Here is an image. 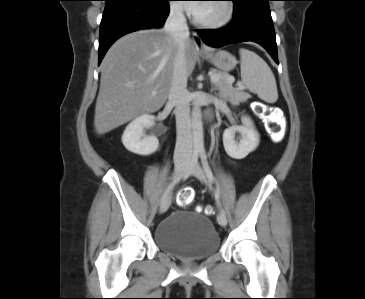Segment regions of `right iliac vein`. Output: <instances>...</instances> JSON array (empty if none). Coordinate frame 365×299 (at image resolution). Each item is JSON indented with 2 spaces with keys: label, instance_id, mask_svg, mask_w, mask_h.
Returning <instances> with one entry per match:
<instances>
[{
  "label": "right iliac vein",
  "instance_id": "1",
  "mask_svg": "<svg viewBox=\"0 0 365 299\" xmlns=\"http://www.w3.org/2000/svg\"><path fill=\"white\" fill-rule=\"evenodd\" d=\"M186 170H187L186 160L183 158L176 160L174 166V173H175L174 179L184 174ZM170 204H171V197L168 196L160 205V213L166 212Z\"/></svg>",
  "mask_w": 365,
  "mask_h": 299
}]
</instances>
